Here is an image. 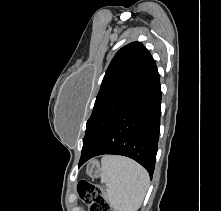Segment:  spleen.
<instances>
[{"mask_svg": "<svg viewBox=\"0 0 221 211\" xmlns=\"http://www.w3.org/2000/svg\"><path fill=\"white\" fill-rule=\"evenodd\" d=\"M102 192L116 211H136L142 204L149 185L147 171L135 161L122 156L101 159Z\"/></svg>", "mask_w": 221, "mask_h": 211, "instance_id": "spleen-1", "label": "spleen"}]
</instances>
